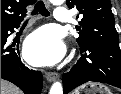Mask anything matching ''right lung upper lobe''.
I'll return each instance as SVG.
<instances>
[{"instance_id":"cb5924a9","label":"right lung upper lobe","mask_w":121,"mask_h":94,"mask_svg":"<svg viewBox=\"0 0 121 94\" xmlns=\"http://www.w3.org/2000/svg\"><path fill=\"white\" fill-rule=\"evenodd\" d=\"M34 3L35 0H1V26L22 20L26 6Z\"/></svg>"}]
</instances>
